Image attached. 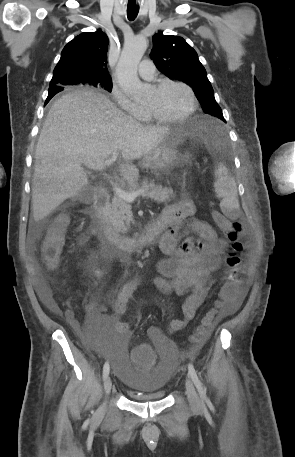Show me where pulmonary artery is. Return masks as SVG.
<instances>
[{"label": "pulmonary artery", "instance_id": "pulmonary-artery-1", "mask_svg": "<svg viewBox=\"0 0 295 457\" xmlns=\"http://www.w3.org/2000/svg\"><path fill=\"white\" fill-rule=\"evenodd\" d=\"M138 73L141 78L146 80H153L155 78V66L151 60H143L139 67Z\"/></svg>", "mask_w": 295, "mask_h": 457}]
</instances>
